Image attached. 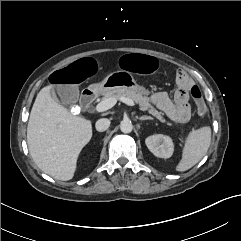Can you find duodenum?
Returning a JSON list of instances; mask_svg holds the SVG:
<instances>
[{
  "instance_id": "1",
  "label": "duodenum",
  "mask_w": 241,
  "mask_h": 241,
  "mask_svg": "<svg viewBox=\"0 0 241 241\" xmlns=\"http://www.w3.org/2000/svg\"><path fill=\"white\" fill-rule=\"evenodd\" d=\"M97 93H98V90L93 88L84 90L80 98V104L82 108L84 109L90 108L97 96Z\"/></svg>"
}]
</instances>
